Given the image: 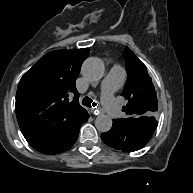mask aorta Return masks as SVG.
Here are the masks:
<instances>
[{
	"instance_id": "obj_1",
	"label": "aorta",
	"mask_w": 193,
	"mask_h": 193,
	"mask_svg": "<svg viewBox=\"0 0 193 193\" xmlns=\"http://www.w3.org/2000/svg\"><path fill=\"white\" fill-rule=\"evenodd\" d=\"M82 73L87 79L97 81L104 74V64L99 58H88L83 64ZM112 124V119L108 115L102 114L95 119V127L102 133L109 131Z\"/></svg>"
}]
</instances>
